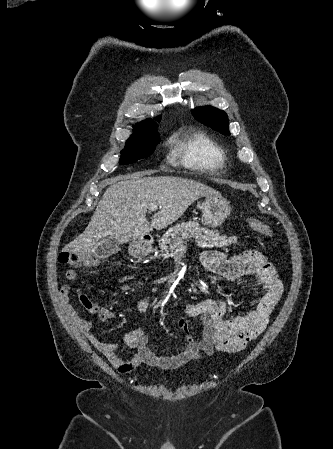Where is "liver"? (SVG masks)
<instances>
[{
  "label": "liver",
  "instance_id": "6515ba94",
  "mask_svg": "<svg viewBox=\"0 0 333 449\" xmlns=\"http://www.w3.org/2000/svg\"><path fill=\"white\" fill-rule=\"evenodd\" d=\"M145 174L149 173L113 179L84 232L63 251L84 253L107 236L119 243L141 240L153 228L162 229L175 222L199 198L220 195L191 179L142 177ZM152 206L160 210L149 224L146 214Z\"/></svg>",
  "mask_w": 333,
  "mask_h": 449
}]
</instances>
